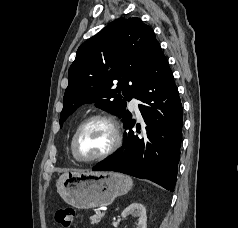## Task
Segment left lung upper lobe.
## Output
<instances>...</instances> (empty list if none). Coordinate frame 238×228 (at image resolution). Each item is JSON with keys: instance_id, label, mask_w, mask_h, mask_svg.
<instances>
[{"instance_id": "left-lung-upper-lobe-1", "label": "left lung upper lobe", "mask_w": 238, "mask_h": 228, "mask_svg": "<svg viewBox=\"0 0 238 228\" xmlns=\"http://www.w3.org/2000/svg\"><path fill=\"white\" fill-rule=\"evenodd\" d=\"M159 48L153 29L139 18L116 19L85 41L69 68L60 126L80 105L93 102L124 122L131 115L126 101Z\"/></svg>"}]
</instances>
